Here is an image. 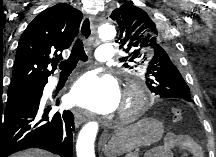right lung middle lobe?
Instances as JSON below:
<instances>
[{"mask_svg":"<svg viewBox=\"0 0 216 157\" xmlns=\"http://www.w3.org/2000/svg\"><path fill=\"white\" fill-rule=\"evenodd\" d=\"M42 91H43V85H36V86H32V87H28V88H24V89H20V90L8 92V98H7L6 106L12 104L15 101L20 100L21 98L24 97V95H26L30 92L42 93Z\"/></svg>","mask_w":216,"mask_h":157,"instance_id":"1","label":"right lung middle lobe"}]
</instances>
